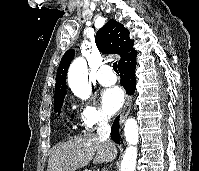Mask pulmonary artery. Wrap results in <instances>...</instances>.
<instances>
[{
	"mask_svg": "<svg viewBox=\"0 0 199 171\" xmlns=\"http://www.w3.org/2000/svg\"><path fill=\"white\" fill-rule=\"evenodd\" d=\"M97 80L103 86H110L116 83V75L109 65H103L97 72Z\"/></svg>",
	"mask_w": 199,
	"mask_h": 171,
	"instance_id": "1",
	"label": "pulmonary artery"
}]
</instances>
